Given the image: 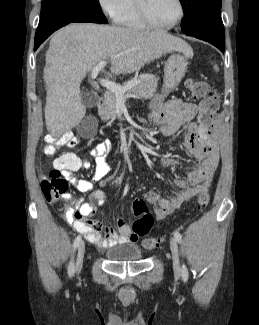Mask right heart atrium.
<instances>
[{"label":"right heart atrium","instance_id":"1","mask_svg":"<svg viewBox=\"0 0 259 325\" xmlns=\"http://www.w3.org/2000/svg\"><path fill=\"white\" fill-rule=\"evenodd\" d=\"M102 12L112 20L117 18L126 9L129 0H97Z\"/></svg>","mask_w":259,"mask_h":325}]
</instances>
